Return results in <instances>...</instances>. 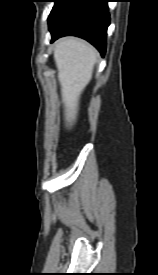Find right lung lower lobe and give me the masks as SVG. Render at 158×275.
<instances>
[{"mask_svg":"<svg viewBox=\"0 0 158 275\" xmlns=\"http://www.w3.org/2000/svg\"><path fill=\"white\" fill-rule=\"evenodd\" d=\"M108 1L60 0L48 18L51 41L68 35L78 36L93 44L104 56L110 24Z\"/></svg>","mask_w":158,"mask_h":275,"instance_id":"98d812e1","label":"right lung lower lobe"}]
</instances>
